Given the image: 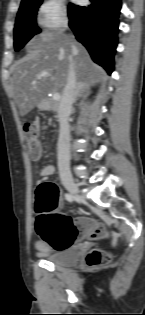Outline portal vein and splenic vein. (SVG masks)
Returning <instances> with one entry per match:
<instances>
[{
	"instance_id": "obj_1",
	"label": "portal vein and splenic vein",
	"mask_w": 145,
	"mask_h": 315,
	"mask_svg": "<svg viewBox=\"0 0 145 315\" xmlns=\"http://www.w3.org/2000/svg\"><path fill=\"white\" fill-rule=\"evenodd\" d=\"M50 73L47 72V71H44V72H41L39 75H38V79H42L43 77H46V76H49ZM53 99L54 100H59L60 99V94L59 93H54L53 94Z\"/></svg>"
}]
</instances>
